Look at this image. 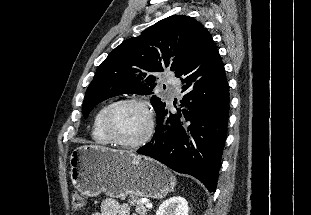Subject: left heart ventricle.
I'll return each mask as SVG.
<instances>
[{
	"mask_svg": "<svg viewBox=\"0 0 311 215\" xmlns=\"http://www.w3.org/2000/svg\"><path fill=\"white\" fill-rule=\"evenodd\" d=\"M111 125L122 140L134 142L144 136L148 127L146 111L137 105H124L113 114Z\"/></svg>",
	"mask_w": 311,
	"mask_h": 215,
	"instance_id": "b2bd125f",
	"label": "left heart ventricle"
}]
</instances>
